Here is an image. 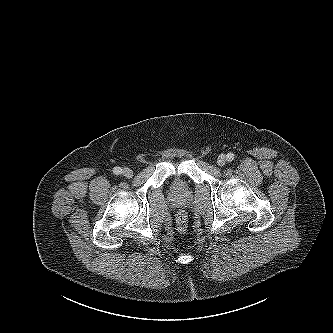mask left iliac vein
I'll list each match as a JSON object with an SVG mask.
<instances>
[{
	"mask_svg": "<svg viewBox=\"0 0 333 333\" xmlns=\"http://www.w3.org/2000/svg\"><path fill=\"white\" fill-rule=\"evenodd\" d=\"M226 161H227V157L224 154H221V155H219V157L217 159V164L219 166H224Z\"/></svg>",
	"mask_w": 333,
	"mask_h": 333,
	"instance_id": "obj_1",
	"label": "left iliac vein"
}]
</instances>
